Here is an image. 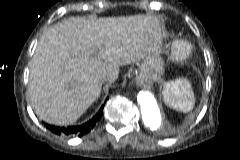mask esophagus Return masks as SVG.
Instances as JSON below:
<instances>
[{
    "label": "esophagus",
    "instance_id": "esophagus-1",
    "mask_svg": "<svg viewBox=\"0 0 240 160\" xmlns=\"http://www.w3.org/2000/svg\"><path fill=\"white\" fill-rule=\"evenodd\" d=\"M136 84L138 87L150 88L152 86V80L144 73H140L136 77Z\"/></svg>",
    "mask_w": 240,
    "mask_h": 160
}]
</instances>
